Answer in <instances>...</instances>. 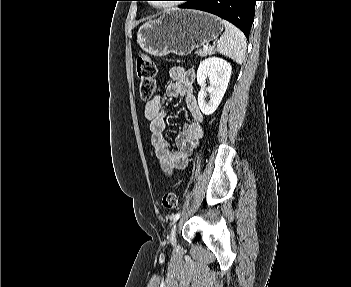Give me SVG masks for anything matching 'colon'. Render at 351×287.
<instances>
[{"instance_id": "colon-1", "label": "colon", "mask_w": 351, "mask_h": 287, "mask_svg": "<svg viewBox=\"0 0 351 287\" xmlns=\"http://www.w3.org/2000/svg\"><path fill=\"white\" fill-rule=\"evenodd\" d=\"M136 72L139 79V92L143 100H149L155 93V76L157 73L155 62L146 54H140L136 59ZM179 199L175 192H168L163 196L162 205L167 210L178 207Z\"/></svg>"}]
</instances>
